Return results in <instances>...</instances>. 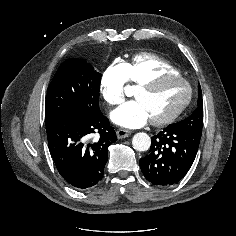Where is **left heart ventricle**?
I'll use <instances>...</instances> for the list:
<instances>
[{
	"label": "left heart ventricle",
	"mask_w": 236,
	"mask_h": 236,
	"mask_svg": "<svg viewBox=\"0 0 236 236\" xmlns=\"http://www.w3.org/2000/svg\"><path fill=\"white\" fill-rule=\"evenodd\" d=\"M187 89L183 82L168 80L151 90H137L135 96L147 108L150 118H161L172 113L184 101Z\"/></svg>",
	"instance_id": "b2bd125f"
}]
</instances>
